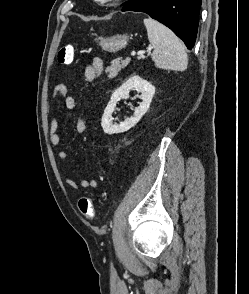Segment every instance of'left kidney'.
<instances>
[{"label":"left kidney","instance_id":"5707ae66","mask_svg":"<svg viewBox=\"0 0 249 294\" xmlns=\"http://www.w3.org/2000/svg\"><path fill=\"white\" fill-rule=\"evenodd\" d=\"M136 89L141 93L140 98L142 102L134 110V115L124 120V122L113 124L112 114L115 111L116 104L121 99H128L131 89ZM155 94V87L148 81L142 79L138 75L130 77L125 83H123L118 89H116L111 99L104 110L101 126L106 134L112 135L117 133H123L135 126L143 115L147 112L152 98Z\"/></svg>","mask_w":249,"mask_h":294}]
</instances>
